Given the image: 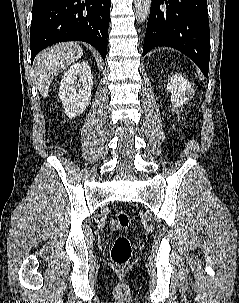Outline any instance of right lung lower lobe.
Instances as JSON below:
<instances>
[{"label": "right lung lower lobe", "instance_id": "98d812e1", "mask_svg": "<svg viewBox=\"0 0 239 303\" xmlns=\"http://www.w3.org/2000/svg\"><path fill=\"white\" fill-rule=\"evenodd\" d=\"M111 0H33L31 63L49 45L84 41L107 53Z\"/></svg>", "mask_w": 239, "mask_h": 303}]
</instances>
